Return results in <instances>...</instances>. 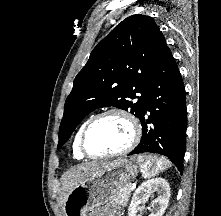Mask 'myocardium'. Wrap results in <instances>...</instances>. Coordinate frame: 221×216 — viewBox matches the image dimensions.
Masks as SVG:
<instances>
[{
  "instance_id": "1",
  "label": "myocardium",
  "mask_w": 221,
  "mask_h": 216,
  "mask_svg": "<svg viewBox=\"0 0 221 216\" xmlns=\"http://www.w3.org/2000/svg\"><path fill=\"white\" fill-rule=\"evenodd\" d=\"M116 115L128 122L131 128V138L129 143L122 148L121 150L110 152V153H103V154H94L91 153L86 147V135L89 129L100 119L110 116ZM142 134V127L139 120L128 110L118 107L109 108L95 116L91 117L86 124L84 125L80 137H79V148L83 155L88 156L90 158L95 159H104V158H115L121 155H124L131 151L139 142Z\"/></svg>"
}]
</instances>
